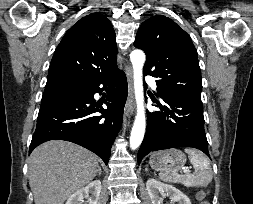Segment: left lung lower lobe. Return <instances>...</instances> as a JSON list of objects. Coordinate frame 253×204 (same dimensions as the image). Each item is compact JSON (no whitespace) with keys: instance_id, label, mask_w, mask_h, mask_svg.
<instances>
[{"instance_id":"1","label":"left lung lower lobe","mask_w":253,"mask_h":204,"mask_svg":"<svg viewBox=\"0 0 253 204\" xmlns=\"http://www.w3.org/2000/svg\"><path fill=\"white\" fill-rule=\"evenodd\" d=\"M160 97L163 104L155 103L161 111L147 112V130L138 151V164L152 151L175 147L197 148L209 157L201 97Z\"/></svg>"}]
</instances>
